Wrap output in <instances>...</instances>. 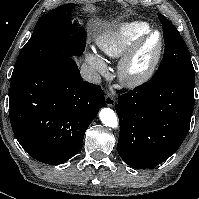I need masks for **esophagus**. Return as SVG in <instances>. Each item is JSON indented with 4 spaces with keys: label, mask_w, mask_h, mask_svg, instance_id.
<instances>
[{
    "label": "esophagus",
    "mask_w": 199,
    "mask_h": 199,
    "mask_svg": "<svg viewBox=\"0 0 199 199\" xmlns=\"http://www.w3.org/2000/svg\"><path fill=\"white\" fill-rule=\"evenodd\" d=\"M106 105L109 107H114L116 104L115 98L111 93H108L105 97Z\"/></svg>",
    "instance_id": "1"
}]
</instances>
